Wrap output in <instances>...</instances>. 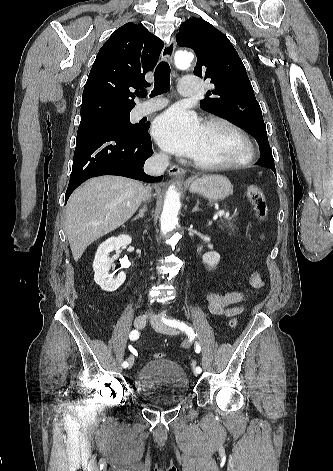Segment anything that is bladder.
Wrapping results in <instances>:
<instances>
[{
    "label": "bladder",
    "mask_w": 333,
    "mask_h": 471,
    "mask_svg": "<svg viewBox=\"0 0 333 471\" xmlns=\"http://www.w3.org/2000/svg\"><path fill=\"white\" fill-rule=\"evenodd\" d=\"M139 400L152 405H174L188 394L190 381L183 367L168 358L144 363L134 379Z\"/></svg>",
    "instance_id": "obj_1"
}]
</instances>
